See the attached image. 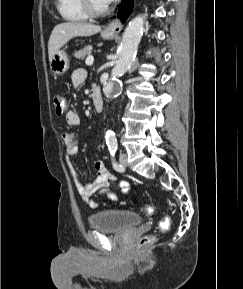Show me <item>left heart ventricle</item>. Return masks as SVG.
Returning <instances> with one entry per match:
<instances>
[{
	"label": "left heart ventricle",
	"instance_id": "left-heart-ventricle-1",
	"mask_svg": "<svg viewBox=\"0 0 243 289\" xmlns=\"http://www.w3.org/2000/svg\"><path fill=\"white\" fill-rule=\"evenodd\" d=\"M92 3L95 8L101 9L104 8L106 5L102 2V0H92Z\"/></svg>",
	"mask_w": 243,
	"mask_h": 289
}]
</instances>
